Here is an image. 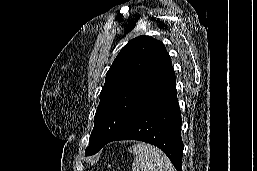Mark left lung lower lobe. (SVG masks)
Listing matches in <instances>:
<instances>
[{
  "label": "left lung lower lobe",
  "mask_w": 257,
  "mask_h": 171,
  "mask_svg": "<svg viewBox=\"0 0 257 171\" xmlns=\"http://www.w3.org/2000/svg\"><path fill=\"white\" fill-rule=\"evenodd\" d=\"M181 114L177 99L175 72L172 68L157 93L142 107L130 123L113 139L139 140L160 148L177 171H182L183 142ZM107 143L88 155L97 153Z\"/></svg>",
  "instance_id": "left-lung-lower-lobe-1"
}]
</instances>
